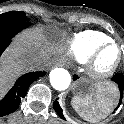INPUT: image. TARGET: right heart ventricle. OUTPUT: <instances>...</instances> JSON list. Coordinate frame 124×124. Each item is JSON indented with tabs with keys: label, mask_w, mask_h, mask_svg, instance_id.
Wrapping results in <instances>:
<instances>
[{
	"label": "right heart ventricle",
	"mask_w": 124,
	"mask_h": 124,
	"mask_svg": "<svg viewBox=\"0 0 124 124\" xmlns=\"http://www.w3.org/2000/svg\"><path fill=\"white\" fill-rule=\"evenodd\" d=\"M110 41L111 37L104 32L83 30L68 35L65 39V48L75 62L84 64L99 45Z\"/></svg>",
	"instance_id": "right-heart-ventricle-1"
}]
</instances>
